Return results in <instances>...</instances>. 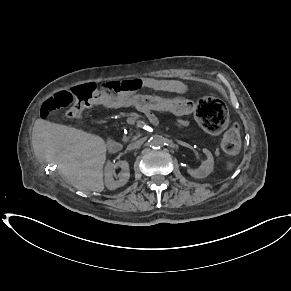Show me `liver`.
<instances>
[{
	"mask_svg": "<svg viewBox=\"0 0 291 291\" xmlns=\"http://www.w3.org/2000/svg\"><path fill=\"white\" fill-rule=\"evenodd\" d=\"M32 146L38 159L58 166L64 180L83 191L104 190L103 166L106 161V143L94 134L52 123L35 121Z\"/></svg>",
	"mask_w": 291,
	"mask_h": 291,
	"instance_id": "obj_1",
	"label": "liver"
}]
</instances>
